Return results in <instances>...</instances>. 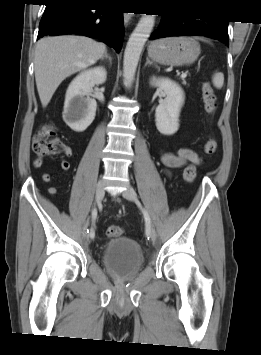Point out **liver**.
I'll use <instances>...</instances> for the list:
<instances>
[{
    "instance_id": "6515ba94",
    "label": "liver",
    "mask_w": 261,
    "mask_h": 355,
    "mask_svg": "<svg viewBox=\"0 0 261 355\" xmlns=\"http://www.w3.org/2000/svg\"><path fill=\"white\" fill-rule=\"evenodd\" d=\"M106 46L83 36H59L40 39L35 48V80L42 106L50 102L61 82L96 63Z\"/></svg>"
}]
</instances>
